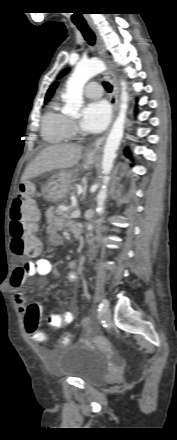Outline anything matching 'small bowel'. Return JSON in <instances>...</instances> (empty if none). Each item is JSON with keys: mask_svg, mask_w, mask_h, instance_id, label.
<instances>
[{"mask_svg": "<svg viewBox=\"0 0 177 440\" xmlns=\"http://www.w3.org/2000/svg\"><path fill=\"white\" fill-rule=\"evenodd\" d=\"M45 219L47 222L46 235L48 242L53 246H60L63 244V237L59 231L63 228L74 226L73 223L66 222L64 218L55 214L53 207L48 208L45 211ZM39 243V242H38ZM40 250V243H39ZM38 250V251H39ZM77 264L75 261H70L68 264V281L72 284H76L78 281V274L76 272ZM52 264L49 260L44 258H38L34 261H27L22 265L16 267L10 278V286L14 290V300L18 305L19 312L24 315L27 311L26 308V295L22 291L27 278L36 275H47L51 272ZM74 320V313L71 311H65L60 314H51L49 316V323L53 327H62L70 324Z\"/></svg>", "mask_w": 177, "mask_h": 440, "instance_id": "small-bowel-1", "label": "small bowel"}]
</instances>
